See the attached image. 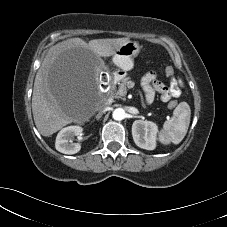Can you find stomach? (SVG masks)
I'll use <instances>...</instances> for the list:
<instances>
[{"label":"stomach","instance_id":"1","mask_svg":"<svg viewBox=\"0 0 227 227\" xmlns=\"http://www.w3.org/2000/svg\"><path fill=\"white\" fill-rule=\"evenodd\" d=\"M140 47L136 41L124 43L113 55V63L123 71L131 70L134 66V58L139 54Z\"/></svg>","mask_w":227,"mask_h":227}]
</instances>
